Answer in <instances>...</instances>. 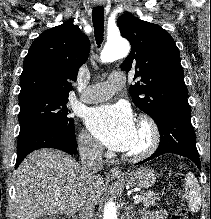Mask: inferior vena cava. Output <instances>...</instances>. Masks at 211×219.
I'll return each mask as SVG.
<instances>
[{
    "mask_svg": "<svg viewBox=\"0 0 211 219\" xmlns=\"http://www.w3.org/2000/svg\"><path fill=\"white\" fill-rule=\"evenodd\" d=\"M102 151V145L91 138H85L79 143L83 173L89 181H93L97 172L103 169ZM79 219H96L95 206L91 200L80 203Z\"/></svg>",
    "mask_w": 211,
    "mask_h": 219,
    "instance_id": "inferior-vena-cava-1",
    "label": "inferior vena cava"
}]
</instances>
